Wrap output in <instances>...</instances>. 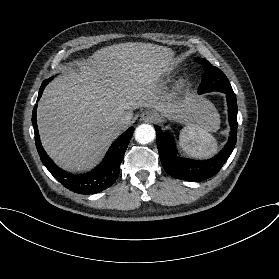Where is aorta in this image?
<instances>
[{
    "label": "aorta",
    "mask_w": 279,
    "mask_h": 279,
    "mask_svg": "<svg viewBox=\"0 0 279 279\" xmlns=\"http://www.w3.org/2000/svg\"><path fill=\"white\" fill-rule=\"evenodd\" d=\"M155 138V129L149 124H141L135 130V140L140 144H148Z\"/></svg>",
    "instance_id": "obj_1"
}]
</instances>
